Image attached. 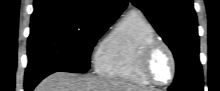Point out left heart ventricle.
<instances>
[{"label": "left heart ventricle", "mask_w": 220, "mask_h": 91, "mask_svg": "<svg viewBox=\"0 0 220 91\" xmlns=\"http://www.w3.org/2000/svg\"><path fill=\"white\" fill-rule=\"evenodd\" d=\"M150 71L155 79L166 82L171 73V62L169 55L163 48H159L150 60Z\"/></svg>", "instance_id": "1"}]
</instances>
